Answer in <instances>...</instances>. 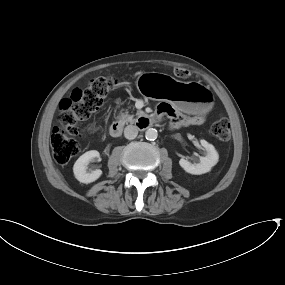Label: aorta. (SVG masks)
Segmentation results:
<instances>
[{
	"label": "aorta",
	"mask_w": 285,
	"mask_h": 285,
	"mask_svg": "<svg viewBox=\"0 0 285 285\" xmlns=\"http://www.w3.org/2000/svg\"><path fill=\"white\" fill-rule=\"evenodd\" d=\"M145 137H146V139L149 140V141H154V140H156L157 137H158V132H157V130L154 129V128H149V129H147L146 132H145Z\"/></svg>",
	"instance_id": "obj_1"
}]
</instances>
